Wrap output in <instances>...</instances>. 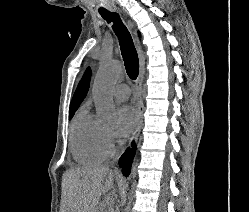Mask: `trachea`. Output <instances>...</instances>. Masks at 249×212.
I'll use <instances>...</instances> for the list:
<instances>
[{
    "mask_svg": "<svg viewBox=\"0 0 249 212\" xmlns=\"http://www.w3.org/2000/svg\"><path fill=\"white\" fill-rule=\"evenodd\" d=\"M101 16L108 23L113 22L112 28L119 39L121 55L124 60L127 74L132 80H136L139 73V60L129 31L125 25H123L118 13H101Z\"/></svg>",
    "mask_w": 249,
    "mask_h": 212,
    "instance_id": "3493384b",
    "label": "trachea"
}]
</instances>
